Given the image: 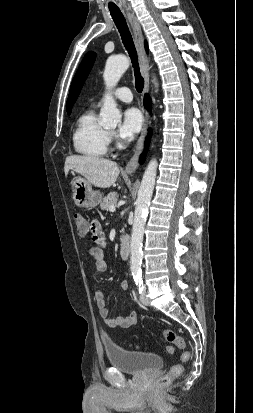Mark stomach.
Wrapping results in <instances>:
<instances>
[{
	"label": "stomach",
	"instance_id": "0dacf381",
	"mask_svg": "<svg viewBox=\"0 0 253 413\" xmlns=\"http://www.w3.org/2000/svg\"><path fill=\"white\" fill-rule=\"evenodd\" d=\"M73 201L79 207H95L102 201V194L92 189L85 178L76 177L71 181Z\"/></svg>",
	"mask_w": 253,
	"mask_h": 413
}]
</instances>
